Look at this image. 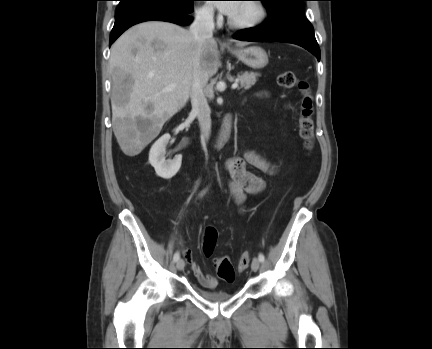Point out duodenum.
<instances>
[{"instance_id": "410a0bca", "label": "duodenum", "mask_w": 432, "mask_h": 349, "mask_svg": "<svg viewBox=\"0 0 432 349\" xmlns=\"http://www.w3.org/2000/svg\"><path fill=\"white\" fill-rule=\"evenodd\" d=\"M231 127H232V119L230 116H226L223 120L221 131L217 136V138L215 139V143H214L215 149L217 150L221 149L228 141L230 137Z\"/></svg>"}]
</instances>
